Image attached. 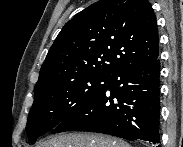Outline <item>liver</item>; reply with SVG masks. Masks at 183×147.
Instances as JSON below:
<instances>
[{
  "instance_id": "liver-1",
  "label": "liver",
  "mask_w": 183,
  "mask_h": 147,
  "mask_svg": "<svg viewBox=\"0 0 183 147\" xmlns=\"http://www.w3.org/2000/svg\"><path fill=\"white\" fill-rule=\"evenodd\" d=\"M37 147H130V145L109 136L73 133L45 140Z\"/></svg>"
}]
</instances>
